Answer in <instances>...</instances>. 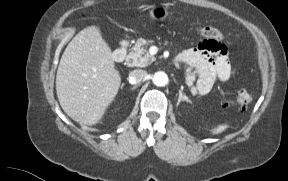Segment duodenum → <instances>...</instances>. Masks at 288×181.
Masks as SVG:
<instances>
[{
	"mask_svg": "<svg viewBox=\"0 0 288 181\" xmlns=\"http://www.w3.org/2000/svg\"><path fill=\"white\" fill-rule=\"evenodd\" d=\"M122 55L120 57L121 61L130 58V46L127 43H122L121 45Z\"/></svg>",
	"mask_w": 288,
	"mask_h": 181,
	"instance_id": "1",
	"label": "duodenum"
}]
</instances>
